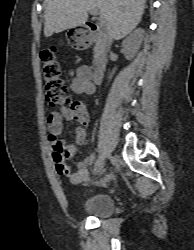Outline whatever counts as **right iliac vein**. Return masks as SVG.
<instances>
[{
	"label": "right iliac vein",
	"mask_w": 194,
	"mask_h": 250,
	"mask_svg": "<svg viewBox=\"0 0 194 250\" xmlns=\"http://www.w3.org/2000/svg\"><path fill=\"white\" fill-rule=\"evenodd\" d=\"M105 154H102L101 157L98 159V163L95 166V174L98 175L102 171L104 164H105Z\"/></svg>",
	"instance_id": "1"
}]
</instances>
